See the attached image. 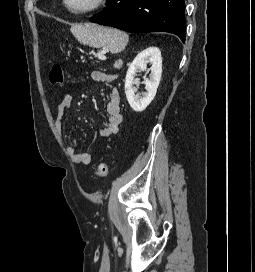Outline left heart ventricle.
<instances>
[{
  "label": "left heart ventricle",
  "instance_id": "obj_1",
  "mask_svg": "<svg viewBox=\"0 0 255 272\" xmlns=\"http://www.w3.org/2000/svg\"><path fill=\"white\" fill-rule=\"evenodd\" d=\"M95 0H69V4L76 9H83L93 4Z\"/></svg>",
  "mask_w": 255,
  "mask_h": 272
}]
</instances>
